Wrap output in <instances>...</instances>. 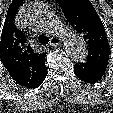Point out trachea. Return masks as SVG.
I'll return each mask as SVG.
<instances>
[{"label":"trachea","instance_id":"1","mask_svg":"<svg viewBox=\"0 0 113 113\" xmlns=\"http://www.w3.org/2000/svg\"><path fill=\"white\" fill-rule=\"evenodd\" d=\"M40 44H48L49 40L45 35H40L38 37Z\"/></svg>","mask_w":113,"mask_h":113}]
</instances>
